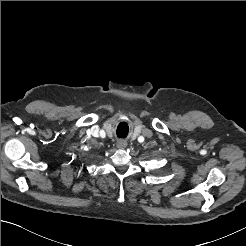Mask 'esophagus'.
<instances>
[{
    "mask_svg": "<svg viewBox=\"0 0 246 246\" xmlns=\"http://www.w3.org/2000/svg\"><path fill=\"white\" fill-rule=\"evenodd\" d=\"M126 146H127V143H126L125 141H123V140H120V141H118V143H117V147H118L119 149H124V148H126Z\"/></svg>",
    "mask_w": 246,
    "mask_h": 246,
    "instance_id": "34e87169",
    "label": "esophagus"
}]
</instances>
